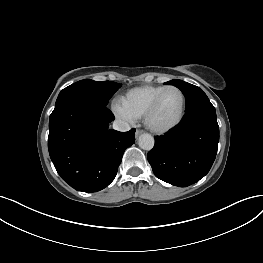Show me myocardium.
<instances>
[{
	"instance_id": "f54148a6",
	"label": "myocardium",
	"mask_w": 263,
	"mask_h": 263,
	"mask_svg": "<svg viewBox=\"0 0 263 263\" xmlns=\"http://www.w3.org/2000/svg\"><path fill=\"white\" fill-rule=\"evenodd\" d=\"M172 89L177 90L182 97V107H181L180 114L174 122H172L166 126H155L151 122L152 115L154 114V112H155L161 98L164 96V94L167 91L172 90ZM186 104H187L186 96H185V93L183 92L182 89H180L177 86H173V85L166 86L159 94L156 95V97L152 100V102L148 106V108H147V110L143 116L144 117V123L151 131H153L155 133L169 132L172 129H174L175 127H177L182 122V120L185 116V112H186Z\"/></svg>"
}]
</instances>
